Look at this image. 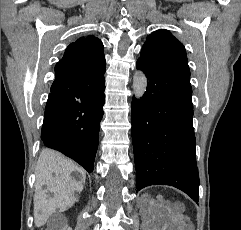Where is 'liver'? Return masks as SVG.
<instances>
[{"mask_svg": "<svg viewBox=\"0 0 241 230\" xmlns=\"http://www.w3.org/2000/svg\"><path fill=\"white\" fill-rule=\"evenodd\" d=\"M73 173L78 175L79 180L75 179ZM85 178V171L73 161L56 151L42 150L36 170V186L39 191L34 198L35 225H44L56 210L64 212L72 207L77 201L75 194L84 188ZM43 186L53 193L52 197L44 195Z\"/></svg>", "mask_w": 241, "mask_h": 230, "instance_id": "obj_1", "label": "liver"}]
</instances>
